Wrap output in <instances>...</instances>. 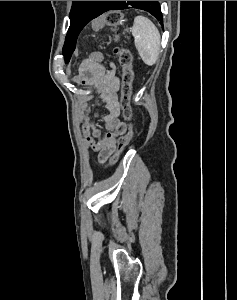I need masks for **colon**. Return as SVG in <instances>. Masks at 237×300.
<instances>
[{
    "label": "colon",
    "instance_id": "obj_1",
    "mask_svg": "<svg viewBox=\"0 0 237 300\" xmlns=\"http://www.w3.org/2000/svg\"><path fill=\"white\" fill-rule=\"evenodd\" d=\"M123 22V13L120 10H110L104 13L102 16L94 19L92 28L95 31L108 27L111 30H116ZM116 53L118 56V62L122 69V87H121V100L120 106L122 114L128 123L127 132L118 139L116 151L110 158V166L115 165L124 150V148L130 143L133 136L132 117L133 112L130 105V97L133 88L134 72H133V56L130 50L127 48H117ZM85 61L90 64H101L103 57L99 53L90 54Z\"/></svg>",
    "mask_w": 237,
    "mask_h": 300
}]
</instances>
